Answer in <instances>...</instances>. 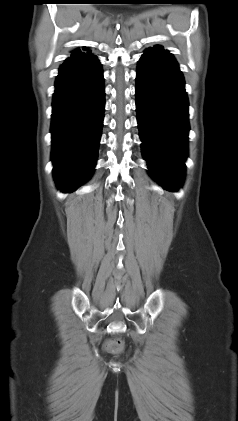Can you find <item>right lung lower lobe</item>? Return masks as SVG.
<instances>
[{
	"instance_id": "98d812e1",
	"label": "right lung lower lobe",
	"mask_w": 238,
	"mask_h": 421,
	"mask_svg": "<svg viewBox=\"0 0 238 421\" xmlns=\"http://www.w3.org/2000/svg\"><path fill=\"white\" fill-rule=\"evenodd\" d=\"M104 79L91 52L72 53L59 68L52 112L54 179L73 192L92 175L104 117Z\"/></svg>"
}]
</instances>
